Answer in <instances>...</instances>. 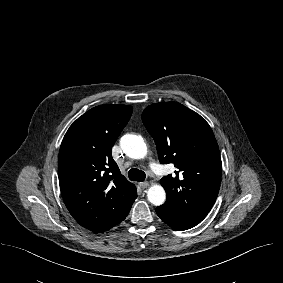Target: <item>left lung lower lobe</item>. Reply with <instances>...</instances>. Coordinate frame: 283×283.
<instances>
[{"instance_id":"obj_1","label":"left lung lower lobe","mask_w":283,"mask_h":283,"mask_svg":"<svg viewBox=\"0 0 283 283\" xmlns=\"http://www.w3.org/2000/svg\"><path fill=\"white\" fill-rule=\"evenodd\" d=\"M156 213L158 216L170 227L176 230H187L196 226L201 221L188 219L182 216H179L170 211L162 210L160 207L156 208Z\"/></svg>"}]
</instances>
